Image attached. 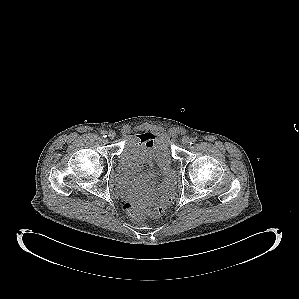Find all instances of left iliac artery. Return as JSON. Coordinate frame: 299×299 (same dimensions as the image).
<instances>
[{
    "label": "left iliac artery",
    "mask_w": 299,
    "mask_h": 299,
    "mask_svg": "<svg viewBox=\"0 0 299 299\" xmlns=\"http://www.w3.org/2000/svg\"><path fill=\"white\" fill-rule=\"evenodd\" d=\"M196 142V139L195 138H191L190 139V144H194Z\"/></svg>",
    "instance_id": "1"
}]
</instances>
